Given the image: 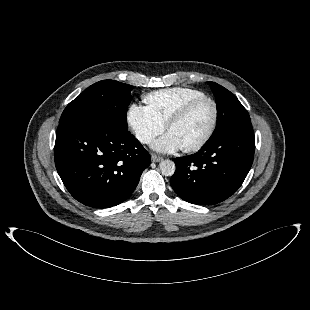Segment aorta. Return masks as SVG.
I'll return each mask as SVG.
<instances>
[{
    "label": "aorta",
    "mask_w": 310,
    "mask_h": 310,
    "mask_svg": "<svg viewBox=\"0 0 310 310\" xmlns=\"http://www.w3.org/2000/svg\"><path fill=\"white\" fill-rule=\"evenodd\" d=\"M160 171L164 176H172L175 173V163L171 160H163L160 163Z\"/></svg>",
    "instance_id": "1"
}]
</instances>
